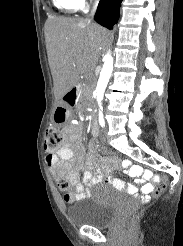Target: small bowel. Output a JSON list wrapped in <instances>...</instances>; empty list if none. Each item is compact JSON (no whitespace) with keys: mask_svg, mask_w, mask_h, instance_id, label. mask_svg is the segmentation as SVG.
<instances>
[{"mask_svg":"<svg viewBox=\"0 0 183 246\" xmlns=\"http://www.w3.org/2000/svg\"><path fill=\"white\" fill-rule=\"evenodd\" d=\"M91 132L94 136L98 135L96 124L92 125ZM66 134L65 143L57 151L49 152L46 162L54 168V175L64 172L67 179L76 183V200L86 198L89 194L87 188L100 182L109 183L117 190L131 195L136 194L139 190L145 195L152 191V185L145 183L146 179H150V182H161L160 174H152V170H144V167H134L129 160L121 161L120 166L130 174L134 184H125L122 180L111 177L108 168L97 169L99 166L97 151L85 152L78 131L68 128ZM80 168L83 171L78 179L77 172ZM95 169L97 171L93 175L92 172Z\"/></svg>","mask_w":183,"mask_h":246,"instance_id":"c3829d8e","label":"small bowel"}]
</instances>
